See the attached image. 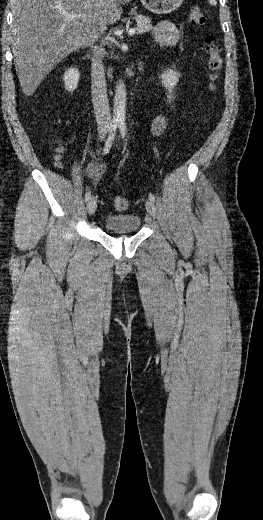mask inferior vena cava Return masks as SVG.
<instances>
[{
    "mask_svg": "<svg viewBox=\"0 0 263 520\" xmlns=\"http://www.w3.org/2000/svg\"><path fill=\"white\" fill-rule=\"evenodd\" d=\"M92 70H91V89L92 101L96 115L98 132H107L111 125V114L109 109L107 88L105 80L104 65L102 62L103 49L93 45Z\"/></svg>",
    "mask_w": 263,
    "mask_h": 520,
    "instance_id": "obj_1",
    "label": "inferior vena cava"
}]
</instances>
